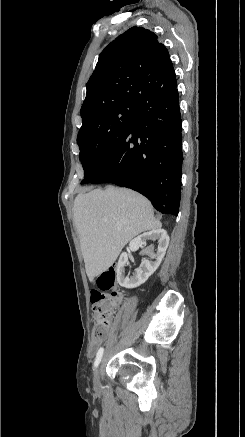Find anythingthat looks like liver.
I'll list each match as a JSON object with an SVG mask.
<instances>
[{
	"label": "liver",
	"instance_id": "6515ba94",
	"mask_svg": "<svg viewBox=\"0 0 245 437\" xmlns=\"http://www.w3.org/2000/svg\"><path fill=\"white\" fill-rule=\"evenodd\" d=\"M73 215L90 281L107 270L135 236L162 226L145 197L112 186L78 194Z\"/></svg>",
	"mask_w": 245,
	"mask_h": 437
}]
</instances>
